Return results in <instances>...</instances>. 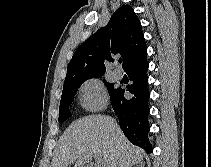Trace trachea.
I'll return each mask as SVG.
<instances>
[{
    "instance_id": "obj_1",
    "label": "trachea",
    "mask_w": 211,
    "mask_h": 167,
    "mask_svg": "<svg viewBox=\"0 0 211 167\" xmlns=\"http://www.w3.org/2000/svg\"><path fill=\"white\" fill-rule=\"evenodd\" d=\"M119 63H122V59H119Z\"/></svg>"
}]
</instances>
